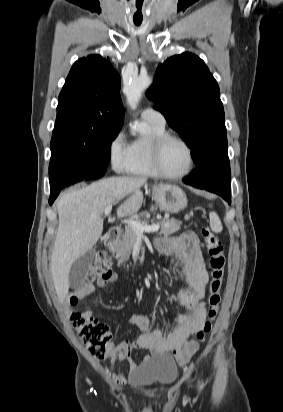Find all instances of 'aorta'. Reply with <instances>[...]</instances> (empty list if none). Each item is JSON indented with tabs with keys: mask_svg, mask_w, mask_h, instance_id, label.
I'll use <instances>...</instances> for the list:
<instances>
[{
	"mask_svg": "<svg viewBox=\"0 0 283 412\" xmlns=\"http://www.w3.org/2000/svg\"><path fill=\"white\" fill-rule=\"evenodd\" d=\"M150 78H132L125 82L124 93L131 108H136L142 93L151 85ZM134 129V128H133Z\"/></svg>",
	"mask_w": 283,
	"mask_h": 412,
	"instance_id": "1",
	"label": "aorta"
}]
</instances>
